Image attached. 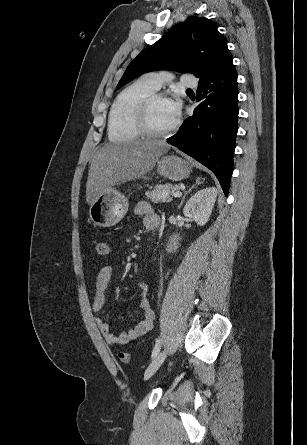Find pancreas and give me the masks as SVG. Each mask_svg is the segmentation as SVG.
Here are the masks:
<instances>
[{"mask_svg": "<svg viewBox=\"0 0 307 445\" xmlns=\"http://www.w3.org/2000/svg\"><path fill=\"white\" fill-rule=\"evenodd\" d=\"M169 192L167 196H163L164 192ZM179 186L177 184H170V182H166V184H156L152 190H146L145 194L147 198H150L151 202H170L172 200L173 192H178Z\"/></svg>", "mask_w": 307, "mask_h": 445, "instance_id": "pancreas-1", "label": "pancreas"}]
</instances>
